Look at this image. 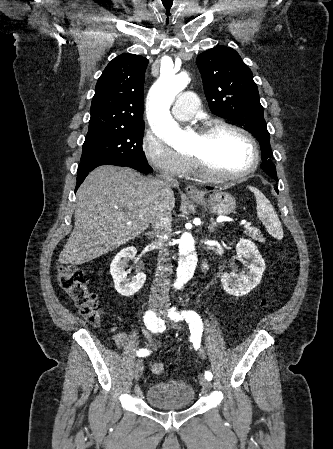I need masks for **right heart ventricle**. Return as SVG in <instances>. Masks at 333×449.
Segmentation results:
<instances>
[{"instance_id": "right-heart-ventricle-1", "label": "right heart ventricle", "mask_w": 333, "mask_h": 449, "mask_svg": "<svg viewBox=\"0 0 333 449\" xmlns=\"http://www.w3.org/2000/svg\"><path fill=\"white\" fill-rule=\"evenodd\" d=\"M194 170L192 163L190 162L189 168L187 172H192Z\"/></svg>"}]
</instances>
